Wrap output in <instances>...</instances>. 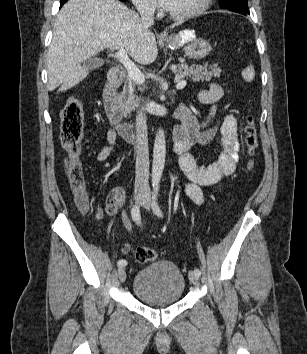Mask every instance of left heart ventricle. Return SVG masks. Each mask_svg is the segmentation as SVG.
I'll return each instance as SVG.
<instances>
[{"instance_id": "left-heart-ventricle-1", "label": "left heart ventricle", "mask_w": 307, "mask_h": 354, "mask_svg": "<svg viewBox=\"0 0 307 354\" xmlns=\"http://www.w3.org/2000/svg\"><path fill=\"white\" fill-rule=\"evenodd\" d=\"M200 0H174L170 12L181 14L194 8Z\"/></svg>"}]
</instances>
